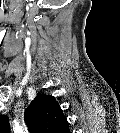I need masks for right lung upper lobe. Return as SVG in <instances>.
I'll return each mask as SVG.
<instances>
[{
	"mask_svg": "<svg viewBox=\"0 0 120 133\" xmlns=\"http://www.w3.org/2000/svg\"><path fill=\"white\" fill-rule=\"evenodd\" d=\"M26 123L38 129L57 131L67 129V120L52 96L38 93L27 108Z\"/></svg>",
	"mask_w": 120,
	"mask_h": 133,
	"instance_id": "1",
	"label": "right lung upper lobe"
}]
</instances>
